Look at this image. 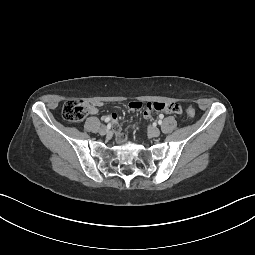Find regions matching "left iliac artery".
I'll return each instance as SVG.
<instances>
[{"instance_id":"44dca946","label":"left iliac artery","mask_w":255,"mask_h":255,"mask_svg":"<svg viewBox=\"0 0 255 255\" xmlns=\"http://www.w3.org/2000/svg\"><path fill=\"white\" fill-rule=\"evenodd\" d=\"M161 123H162V122H161V121H159V124H160V125H161Z\"/></svg>"}]
</instances>
